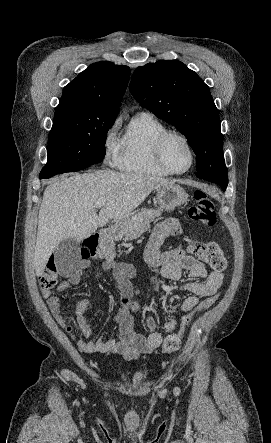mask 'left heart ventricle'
Masks as SVG:
<instances>
[{
    "label": "left heart ventricle",
    "mask_w": 271,
    "mask_h": 443,
    "mask_svg": "<svg viewBox=\"0 0 271 443\" xmlns=\"http://www.w3.org/2000/svg\"><path fill=\"white\" fill-rule=\"evenodd\" d=\"M164 156L175 170H184L191 163V153L186 143L179 137H171L165 144Z\"/></svg>",
    "instance_id": "obj_1"
}]
</instances>
